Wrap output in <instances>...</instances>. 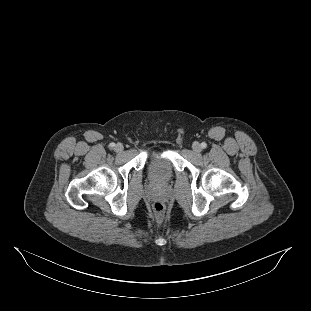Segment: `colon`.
Instances as JSON below:
<instances>
[{
  "instance_id": "colon-1",
  "label": "colon",
  "mask_w": 311,
  "mask_h": 311,
  "mask_svg": "<svg viewBox=\"0 0 311 311\" xmlns=\"http://www.w3.org/2000/svg\"><path fill=\"white\" fill-rule=\"evenodd\" d=\"M153 210L157 215H162L164 212V206L162 203L156 202L153 204Z\"/></svg>"
}]
</instances>
